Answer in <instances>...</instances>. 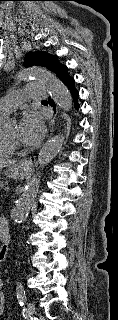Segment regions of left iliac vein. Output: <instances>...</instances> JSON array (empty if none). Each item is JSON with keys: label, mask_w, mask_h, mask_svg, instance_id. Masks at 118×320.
Wrapping results in <instances>:
<instances>
[{"label": "left iliac vein", "mask_w": 118, "mask_h": 320, "mask_svg": "<svg viewBox=\"0 0 118 320\" xmlns=\"http://www.w3.org/2000/svg\"><path fill=\"white\" fill-rule=\"evenodd\" d=\"M27 312L30 316L34 315L36 312L35 304L31 301L27 304Z\"/></svg>", "instance_id": "obj_1"}]
</instances>
